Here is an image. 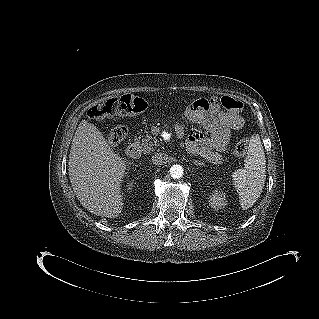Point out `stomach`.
Masks as SVG:
<instances>
[{
    "label": "stomach",
    "mask_w": 319,
    "mask_h": 319,
    "mask_svg": "<svg viewBox=\"0 0 319 319\" xmlns=\"http://www.w3.org/2000/svg\"><path fill=\"white\" fill-rule=\"evenodd\" d=\"M204 108L200 106L199 102H193L185 110L186 118L191 122H197L201 119Z\"/></svg>",
    "instance_id": "stomach-1"
}]
</instances>
